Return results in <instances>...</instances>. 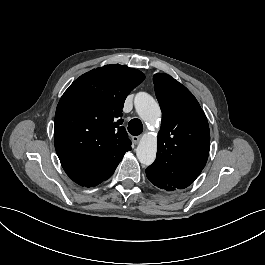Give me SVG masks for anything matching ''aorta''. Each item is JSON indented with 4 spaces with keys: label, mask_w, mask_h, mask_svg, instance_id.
Returning a JSON list of instances; mask_svg holds the SVG:
<instances>
[{
    "label": "aorta",
    "mask_w": 265,
    "mask_h": 265,
    "mask_svg": "<svg viewBox=\"0 0 265 265\" xmlns=\"http://www.w3.org/2000/svg\"><path fill=\"white\" fill-rule=\"evenodd\" d=\"M134 106L139 117L144 122H154L161 116L159 104L146 92L135 95ZM157 138L150 134H144L136 148V155L143 165H151L156 158Z\"/></svg>",
    "instance_id": "obj_1"
}]
</instances>
